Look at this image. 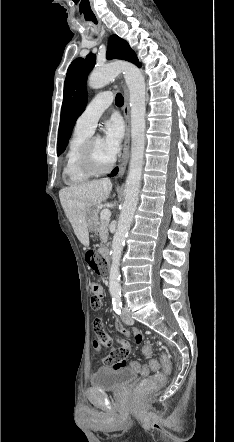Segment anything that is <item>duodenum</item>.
<instances>
[{
  "mask_svg": "<svg viewBox=\"0 0 234 442\" xmlns=\"http://www.w3.org/2000/svg\"><path fill=\"white\" fill-rule=\"evenodd\" d=\"M100 255H101L102 259L107 264H109V262H110V253H109V250L106 247L101 248Z\"/></svg>",
  "mask_w": 234,
  "mask_h": 442,
  "instance_id": "1",
  "label": "duodenum"
}]
</instances>
